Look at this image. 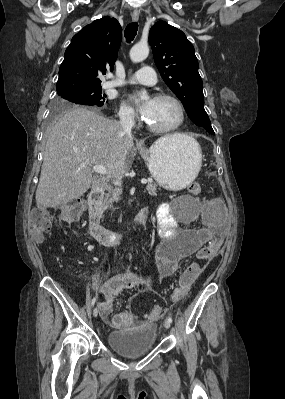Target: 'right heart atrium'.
I'll return each instance as SVG.
<instances>
[{
  "instance_id": "obj_1",
  "label": "right heart atrium",
  "mask_w": 285,
  "mask_h": 399,
  "mask_svg": "<svg viewBox=\"0 0 285 399\" xmlns=\"http://www.w3.org/2000/svg\"><path fill=\"white\" fill-rule=\"evenodd\" d=\"M119 116L122 120L133 121L136 118L134 109L127 104H122L119 110Z\"/></svg>"
}]
</instances>
